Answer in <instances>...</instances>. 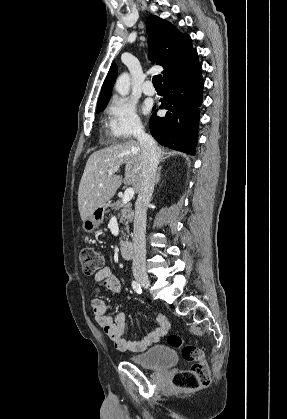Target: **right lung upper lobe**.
Segmentation results:
<instances>
[{"instance_id": "1", "label": "right lung upper lobe", "mask_w": 287, "mask_h": 419, "mask_svg": "<svg viewBox=\"0 0 287 419\" xmlns=\"http://www.w3.org/2000/svg\"><path fill=\"white\" fill-rule=\"evenodd\" d=\"M149 56L153 62L163 66V82L188 73L200 65L196 50L189 35L179 32L174 25L157 16L147 20ZM117 76V66L113 64L105 78L97 102V108L108 103L113 83Z\"/></svg>"}]
</instances>
